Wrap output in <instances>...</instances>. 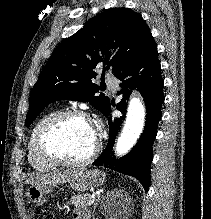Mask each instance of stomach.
Instances as JSON below:
<instances>
[{
	"label": "stomach",
	"mask_w": 211,
	"mask_h": 219,
	"mask_svg": "<svg viewBox=\"0 0 211 219\" xmlns=\"http://www.w3.org/2000/svg\"><path fill=\"white\" fill-rule=\"evenodd\" d=\"M105 179V173L100 170L81 169L78 176L69 182L68 187L83 192L103 185ZM53 188L51 185H31L27 190V197L36 206H42L52 194Z\"/></svg>",
	"instance_id": "obj_1"
}]
</instances>
